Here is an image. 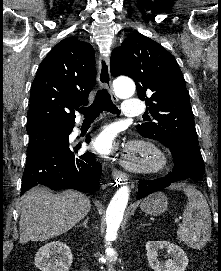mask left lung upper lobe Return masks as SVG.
I'll return each mask as SVG.
<instances>
[{
    "mask_svg": "<svg viewBox=\"0 0 221 271\" xmlns=\"http://www.w3.org/2000/svg\"><path fill=\"white\" fill-rule=\"evenodd\" d=\"M111 74L131 77L139 99L149 105L155 120L137 130L163 144H178L202 158L185 80L176 59L142 34L128 36L111 54ZM149 96V97H148Z\"/></svg>",
    "mask_w": 221,
    "mask_h": 271,
    "instance_id": "5c2ea615",
    "label": "left lung upper lobe"
}]
</instances>
